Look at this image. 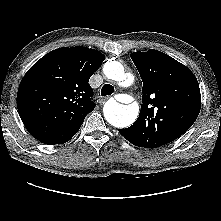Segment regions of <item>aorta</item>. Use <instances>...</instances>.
Segmentation results:
<instances>
[{"mask_svg": "<svg viewBox=\"0 0 221 221\" xmlns=\"http://www.w3.org/2000/svg\"><path fill=\"white\" fill-rule=\"evenodd\" d=\"M103 72L108 79L123 81L126 74L123 65L118 61H108L103 67ZM139 107L132 103L122 105L114 99L108 100L103 108L104 117L111 125L124 128L130 126L138 116Z\"/></svg>", "mask_w": 221, "mask_h": 221, "instance_id": "obj_1", "label": "aorta"}]
</instances>
